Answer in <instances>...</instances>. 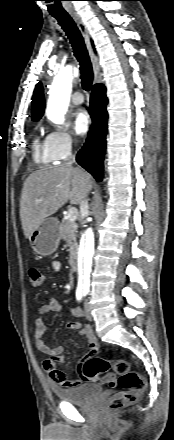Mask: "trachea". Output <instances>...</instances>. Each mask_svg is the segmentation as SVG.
Segmentation results:
<instances>
[{
    "mask_svg": "<svg viewBox=\"0 0 174 440\" xmlns=\"http://www.w3.org/2000/svg\"><path fill=\"white\" fill-rule=\"evenodd\" d=\"M54 17L70 40L74 55L80 65L82 87L89 91L93 82V70L81 32L70 16Z\"/></svg>",
    "mask_w": 174,
    "mask_h": 440,
    "instance_id": "obj_1",
    "label": "trachea"
}]
</instances>
